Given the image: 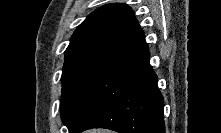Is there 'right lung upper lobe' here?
<instances>
[{
  "label": "right lung upper lobe",
  "instance_id": "cb5924a9",
  "mask_svg": "<svg viewBox=\"0 0 221 133\" xmlns=\"http://www.w3.org/2000/svg\"><path fill=\"white\" fill-rule=\"evenodd\" d=\"M148 51L144 32L126 4H108L76 29L65 51L63 71L103 70Z\"/></svg>",
  "mask_w": 221,
  "mask_h": 133
}]
</instances>
